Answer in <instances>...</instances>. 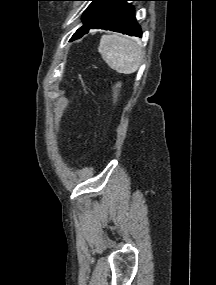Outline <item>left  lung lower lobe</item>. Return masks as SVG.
<instances>
[{
    "label": "left lung lower lobe",
    "mask_w": 216,
    "mask_h": 285,
    "mask_svg": "<svg viewBox=\"0 0 216 285\" xmlns=\"http://www.w3.org/2000/svg\"><path fill=\"white\" fill-rule=\"evenodd\" d=\"M128 1L143 0H118L103 12L88 28L74 33L71 40L81 38L90 29H104L130 36L142 37L141 28L135 19L134 8L127 3Z\"/></svg>",
    "instance_id": "0a47b994"
}]
</instances>
